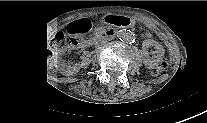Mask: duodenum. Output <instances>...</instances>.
Segmentation results:
<instances>
[{
	"label": "duodenum",
	"instance_id": "duodenum-1",
	"mask_svg": "<svg viewBox=\"0 0 207 123\" xmlns=\"http://www.w3.org/2000/svg\"><path fill=\"white\" fill-rule=\"evenodd\" d=\"M118 30L117 29H109L107 31H105L104 33L100 34L99 36H96L94 40H99V39H107L110 37H113L117 34Z\"/></svg>",
	"mask_w": 207,
	"mask_h": 123
}]
</instances>
